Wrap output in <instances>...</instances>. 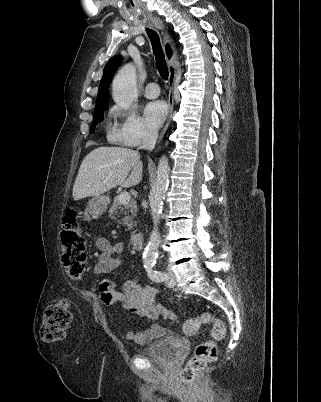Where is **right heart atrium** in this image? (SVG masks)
Listing matches in <instances>:
<instances>
[{
	"label": "right heart atrium",
	"instance_id": "obj_1",
	"mask_svg": "<svg viewBox=\"0 0 321 402\" xmlns=\"http://www.w3.org/2000/svg\"><path fill=\"white\" fill-rule=\"evenodd\" d=\"M110 117L113 120L110 133L112 141L129 147H139L156 138V133L132 109L115 105L110 109Z\"/></svg>",
	"mask_w": 321,
	"mask_h": 402
}]
</instances>
